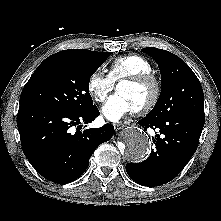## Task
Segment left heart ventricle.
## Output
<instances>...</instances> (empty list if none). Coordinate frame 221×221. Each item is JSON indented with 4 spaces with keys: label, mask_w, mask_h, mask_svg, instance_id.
Here are the masks:
<instances>
[{
    "label": "left heart ventricle",
    "mask_w": 221,
    "mask_h": 221,
    "mask_svg": "<svg viewBox=\"0 0 221 221\" xmlns=\"http://www.w3.org/2000/svg\"><path fill=\"white\" fill-rule=\"evenodd\" d=\"M118 93L123 94L135 109L146 104L152 97L153 88L151 85H132L122 83L117 88Z\"/></svg>",
    "instance_id": "b2bd125f"
}]
</instances>
